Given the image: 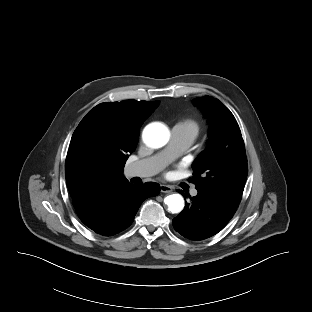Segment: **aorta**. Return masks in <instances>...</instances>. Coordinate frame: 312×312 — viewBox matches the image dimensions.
<instances>
[{
	"mask_svg": "<svg viewBox=\"0 0 312 312\" xmlns=\"http://www.w3.org/2000/svg\"><path fill=\"white\" fill-rule=\"evenodd\" d=\"M170 134L161 124H150L143 131V140L149 147L160 148L167 144ZM169 211L179 213L184 208V199L180 194H172L164 199Z\"/></svg>",
	"mask_w": 312,
	"mask_h": 312,
	"instance_id": "762f6f07",
	"label": "aorta"
}]
</instances>
